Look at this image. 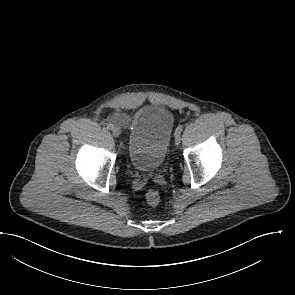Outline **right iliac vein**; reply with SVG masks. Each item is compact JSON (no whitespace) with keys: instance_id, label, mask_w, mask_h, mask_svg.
<instances>
[{"instance_id":"right-iliac-vein-1","label":"right iliac vein","mask_w":295,"mask_h":295,"mask_svg":"<svg viewBox=\"0 0 295 295\" xmlns=\"http://www.w3.org/2000/svg\"><path fill=\"white\" fill-rule=\"evenodd\" d=\"M112 134L114 137H119L121 135V130L119 127H115L112 129Z\"/></svg>"}]
</instances>
